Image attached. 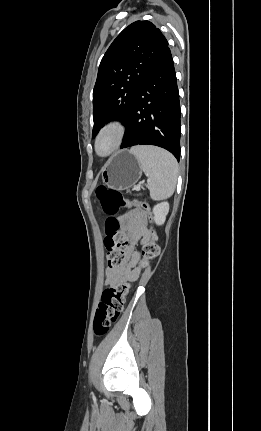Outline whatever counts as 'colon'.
Masks as SVG:
<instances>
[{
  "instance_id": "colon-1",
  "label": "colon",
  "mask_w": 261,
  "mask_h": 431,
  "mask_svg": "<svg viewBox=\"0 0 261 431\" xmlns=\"http://www.w3.org/2000/svg\"><path fill=\"white\" fill-rule=\"evenodd\" d=\"M96 195L103 211L109 215L106 222V233L104 245L107 250V261L110 267H116L123 263L125 254L124 249L127 245V235L120 230L113 217L119 209L125 206L134 207L148 212L149 206L146 203L126 200L123 194L115 189L99 187ZM159 254V246L156 243V235L153 230H149L147 240L145 241L139 265L142 269L149 266ZM128 283L118 284L105 289L102 293L101 301L98 305L94 318V332L97 336L105 335L111 325L119 318L125 303V298L129 292Z\"/></svg>"
}]
</instances>
